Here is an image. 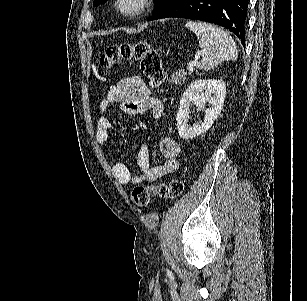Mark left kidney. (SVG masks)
<instances>
[{
    "label": "left kidney",
    "mask_w": 307,
    "mask_h": 301,
    "mask_svg": "<svg viewBox=\"0 0 307 301\" xmlns=\"http://www.w3.org/2000/svg\"><path fill=\"white\" fill-rule=\"evenodd\" d=\"M226 96V84L224 80H193L180 98L179 110H177V126L181 138H195L198 134L206 132L219 116ZM194 102L197 110H204V120H198L194 124H188L190 120V106ZM206 102L210 106L204 108Z\"/></svg>",
    "instance_id": "1"
}]
</instances>
